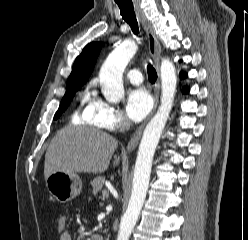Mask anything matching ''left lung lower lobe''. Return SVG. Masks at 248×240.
Segmentation results:
<instances>
[{
    "label": "left lung lower lobe",
    "instance_id": "1",
    "mask_svg": "<svg viewBox=\"0 0 248 240\" xmlns=\"http://www.w3.org/2000/svg\"><path fill=\"white\" fill-rule=\"evenodd\" d=\"M181 61H182V60H181ZM187 76H188V74H187L186 72H183V71L180 72V78H181V79H184V78H186ZM182 93H183V94L189 93V87H188V86L182 87Z\"/></svg>",
    "mask_w": 248,
    "mask_h": 240
}]
</instances>
